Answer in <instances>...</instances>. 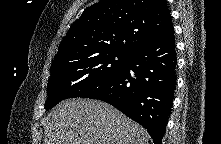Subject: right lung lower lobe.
I'll list each match as a JSON object with an SVG mask.
<instances>
[{
  "instance_id": "right-lung-lower-lobe-1",
  "label": "right lung lower lobe",
  "mask_w": 221,
  "mask_h": 144,
  "mask_svg": "<svg viewBox=\"0 0 221 144\" xmlns=\"http://www.w3.org/2000/svg\"><path fill=\"white\" fill-rule=\"evenodd\" d=\"M176 51L174 28L129 53L109 80L82 94L105 101L145 127L161 144L174 97Z\"/></svg>"
}]
</instances>
